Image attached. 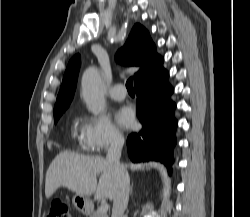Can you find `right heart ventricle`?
Segmentation results:
<instances>
[{
  "instance_id": "right-heart-ventricle-1",
  "label": "right heart ventricle",
  "mask_w": 250,
  "mask_h": 217,
  "mask_svg": "<svg viewBox=\"0 0 250 217\" xmlns=\"http://www.w3.org/2000/svg\"><path fill=\"white\" fill-rule=\"evenodd\" d=\"M78 131V126L75 125L74 128H73V132L76 133Z\"/></svg>"
}]
</instances>
